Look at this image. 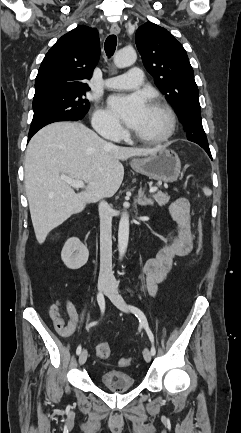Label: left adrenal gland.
<instances>
[{"label": "left adrenal gland", "mask_w": 241, "mask_h": 433, "mask_svg": "<svg viewBox=\"0 0 241 433\" xmlns=\"http://www.w3.org/2000/svg\"><path fill=\"white\" fill-rule=\"evenodd\" d=\"M144 192L145 190H139L137 203L141 206L153 205V200L150 197H146Z\"/></svg>", "instance_id": "a2214340"}]
</instances>
